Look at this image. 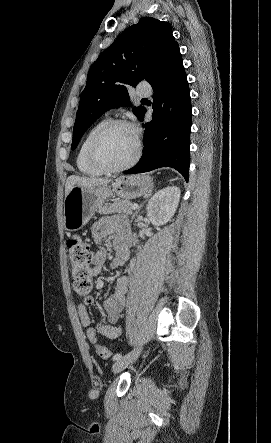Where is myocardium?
<instances>
[{
    "label": "myocardium",
    "mask_w": 271,
    "mask_h": 443,
    "mask_svg": "<svg viewBox=\"0 0 271 443\" xmlns=\"http://www.w3.org/2000/svg\"><path fill=\"white\" fill-rule=\"evenodd\" d=\"M118 126L127 127L132 131L135 137L136 146L133 155L126 163L114 167L110 166L101 159L99 155V146L107 133ZM142 150V139L137 127L133 123L124 119H112L105 123L93 137L88 148V158L96 168L100 169L104 173H119L132 167L141 157Z\"/></svg>",
    "instance_id": "1"
}]
</instances>
